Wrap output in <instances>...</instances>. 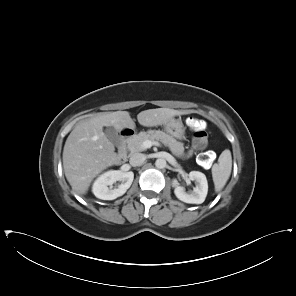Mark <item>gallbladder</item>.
Here are the masks:
<instances>
[{
    "instance_id": "gallbladder-1",
    "label": "gallbladder",
    "mask_w": 296,
    "mask_h": 296,
    "mask_svg": "<svg viewBox=\"0 0 296 296\" xmlns=\"http://www.w3.org/2000/svg\"><path fill=\"white\" fill-rule=\"evenodd\" d=\"M106 135L109 138V140L112 141L116 146H121L124 144L123 139L118 135V133L114 129L107 128Z\"/></svg>"
}]
</instances>
